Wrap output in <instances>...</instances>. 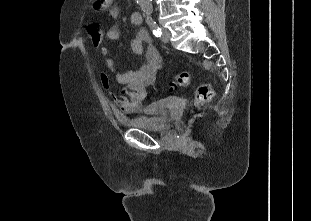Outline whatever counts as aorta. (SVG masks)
<instances>
[{"label":"aorta","mask_w":311,"mask_h":221,"mask_svg":"<svg viewBox=\"0 0 311 221\" xmlns=\"http://www.w3.org/2000/svg\"><path fill=\"white\" fill-rule=\"evenodd\" d=\"M139 4L143 10V12H146L147 18H150L151 20V12H152V4L151 0H139Z\"/></svg>","instance_id":"obj_1"}]
</instances>
